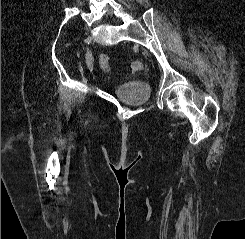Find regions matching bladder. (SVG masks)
Masks as SVG:
<instances>
[{"label":"bladder","instance_id":"31cf9c89","mask_svg":"<svg viewBox=\"0 0 245 239\" xmlns=\"http://www.w3.org/2000/svg\"><path fill=\"white\" fill-rule=\"evenodd\" d=\"M112 92L126 104L142 105L150 100L151 86L140 80L122 82L114 85Z\"/></svg>","mask_w":245,"mask_h":239}]
</instances>
